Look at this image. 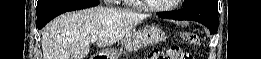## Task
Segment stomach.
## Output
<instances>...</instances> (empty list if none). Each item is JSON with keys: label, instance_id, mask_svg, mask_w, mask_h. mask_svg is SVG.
Segmentation results:
<instances>
[{"label": "stomach", "instance_id": "stomach-1", "mask_svg": "<svg viewBox=\"0 0 261 59\" xmlns=\"http://www.w3.org/2000/svg\"><path fill=\"white\" fill-rule=\"evenodd\" d=\"M166 39L165 32L158 25H149L127 34L121 41L125 53L136 52L144 47L158 44ZM118 59V56H109Z\"/></svg>", "mask_w": 261, "mask_h": 59}]
</instances>
